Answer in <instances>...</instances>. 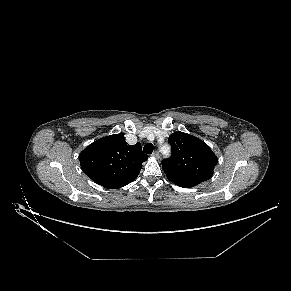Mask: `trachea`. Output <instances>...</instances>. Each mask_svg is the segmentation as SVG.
<instances>
[{"label":"trachea","instance_id":"3493384b","mask_svg":"<svg viewBox=\"0 0 291 291\" xmlns=\"http://www.w3.org/2000/svg\"><path fill=\"white\" fill-rule=\"evenodd\" d=\"M153 148H154L153 145L151 143H148L144 146L143 151L146 154H152Z\"/></svg>","mask_w":291,"mask_h":291}]
</instances>
